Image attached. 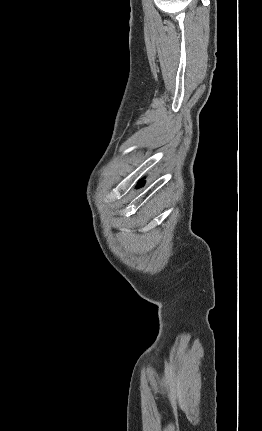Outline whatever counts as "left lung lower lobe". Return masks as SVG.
Here are the masks:
<instances>
[{"label": "left lung lower lobe", "mask_w": 262, "mask_h": 431, "mask_svg": "<svg viewBox=\"0 0 262 431\" xmlns=\"http://www.w3.org/2000/svg\"><path fill=\"white\" fill-rule=\"evenodd\" d=\"M143 183H144V181L141 180V181H139L138 185L141 186Z\"/></svg>", "instance_id": "left-lung-lower-lobe-1"}]
</instances>
